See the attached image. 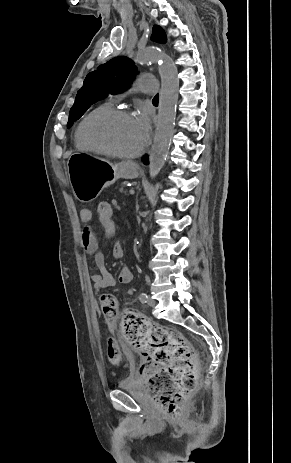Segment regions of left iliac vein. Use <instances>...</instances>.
I'll list each match as a JSON object with an SVG mask.
<instances>
[{
    "label": "left iliac vein",
    "instance_id": "1",
    "mask_svg": "<svg viewBox=\"0 0 291 463\" xmlns=\"http://www.w3.org/2000/svg\"><path fill=\"white\" fill-rule=\"evenodd\" d=\"M147 304L151 307H154L156 305V301L152 297H149L147 300Z\"/></svg>",
    "mask_w": 291,
    "mask_h": 463
}]
</instances>
